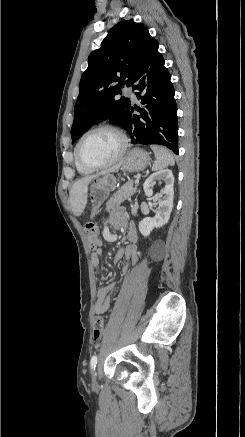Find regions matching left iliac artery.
I'll return each instance as SVG.
<instances>
[{
  "instance_id": "1",
  "label": "left iliac artery",
  "mask_w": 245,
  "mask_h": 437,
  "mask_svg": "<svg viewBox=\"0 0 245 437\" xmlns=\"http://www.w3.org/2000/svg\"><path fill=\"white\" fill-rule=\"evenodd\" d=\"M96 364H97V355H93L91 357V360H90V367H91V369H95Z\"/></svg>"
}]
</instances>
